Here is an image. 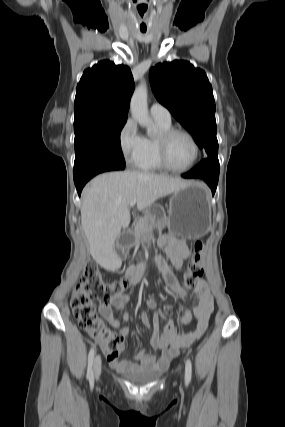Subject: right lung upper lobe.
<instances>
[{"label": "right lung upper lobe", "mask_w": 285, "mask_h": 427, "mask_svg": "<svg viewBox=\"0 0 285 427\" xmlns=\"http://www.w3.org/2000/svg\"><path fill=\"white\" fill-rule=\"evenodd\" d=\"M134 82L129 67L104 60L84 71L77 85L75 119L127 118Z\"/></svg>", "instance_id": "obj_1"}]
</instances>
